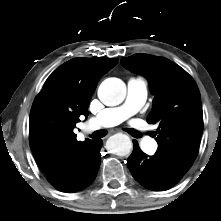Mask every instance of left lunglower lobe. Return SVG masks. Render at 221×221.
I'll return each mask as SVG.
<instances>
[{
	"instance_id": "left-lung-lower-lobe-1",
	"label": "left lung lower lobe",
	"mask_w": 221,
	"mask_h": 221,
	"mask_svg": "<svg viewBox=\"0 0 221 221\" xmlns=\"http://www.w3.org/2000/svg\"><path fill=\"white\" fill-rule=\"evenodd\" d=\"M133 143L134 150L127 160V166L136 181L154 191L168 190L178 183L179 180L170 176L155 155H146L136 141Z\"/></svg>"
}]
</instances>
